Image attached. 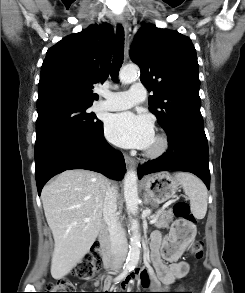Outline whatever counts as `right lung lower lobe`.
<instances>
[{
  "instance_id": "right-lung-lower-lobe-1",
  "label": "right lung lower lobe",
  "mask_w": 245,
  "mask_h": 293,
  "mask_svg": "<svg viewBox=\"0 0 245 293\" xmlns=\"http://www.w3.org/2000/svg\"><path fill=\"white\" fill-rule=\"evenodd\" d=\"M71 169H87L115 180L123 179L124 157L105 140L103 124L88 133L56 137L35 150L38 194L50 178Z\"/></svg>"
}]
</instances>
